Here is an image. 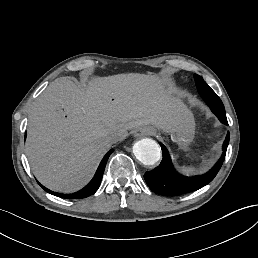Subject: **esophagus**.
Returning a JSON list of instances; mask_svg holds the SVG:
<instances>
[{
  "label": "esophagus",
  "instance_id": "esophagus-1",
  "mask_svg": "<svg viewBox=\"0 0 258 258\" xmlns=\"http://www.w3.org/2000/svg\"><path fill=\"white\" fill-rule=\"evenodd\" d=\"M144 134H149V131H147L146 129L144 128H138L135 133H134V136H141V135H144Z\"/></svg>",
  "mask_w": 258,
  "mask_h": 258
}]
</instances>
